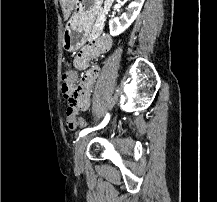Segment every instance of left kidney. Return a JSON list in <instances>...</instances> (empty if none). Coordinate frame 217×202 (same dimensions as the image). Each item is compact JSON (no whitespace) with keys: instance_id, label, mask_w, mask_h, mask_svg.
I'll return each instance as SVG.
<instances>
[{"instance_id":"obj_1","label":"left kidney","mask_w":217,"mask_h":202,"mask_svg":"<svg viewBox=\"0 0 217 202\" xmlns=\"http://www.w3.org/2000/svg\"><path fill=\"white\" fill-rule=\"evenodd\" d=\"M143 4L144 0H133L120 18H117V20H109L110 36H119V34L125 32L131 26L132 22L136 20L138 14H140Z\"/></svg>"}]
</instances>
